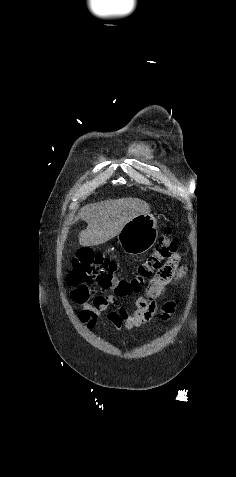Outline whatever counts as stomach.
I'll use <instances>...</instances> for the list:
<instances>
[{"label": "stomach", "instance_id": "0dacf381", "mask_svg": "<svg viewBox=\"0 0 236 477\" xmlns=\"http://www.w3.org/2000/svg\"><path fill=\"white\" fill-rule=\"evenodd\" d=\"M158 237L157 221L151 214H141L125 224L117 235L121 248L130 255L148 251Z\"/></svg>", "mask_w": 236, "mask_h": 477}]
</instances>
